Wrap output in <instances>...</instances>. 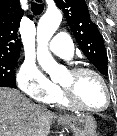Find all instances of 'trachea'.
<instances>
[{"mask_svg": "<svg viewBox=\"0 0 117 136\" xmlns=\"http://www.w3.org/2000/svg\"><path fill=\"white\" fill-rule=\"evenodd\" d=\"M43 10H44L43 4L32 2L31 11L33 12L34 15L36 16L40 15L43 12Z\"/></svg>", "mask_w": 117, "mask_h": 136, "instance_id": "3493384b", "label": "trachea"}]
</instances>
